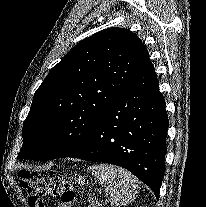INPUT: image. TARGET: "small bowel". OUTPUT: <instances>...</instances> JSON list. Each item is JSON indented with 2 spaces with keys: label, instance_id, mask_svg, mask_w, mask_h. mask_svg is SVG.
Wrapping results in <instances>:
<instances>
[{
  "label": "small bowel",
  "instance_id": "obj_1",
  "mask_svg": "<svg viewBox=\"0 0 206 207\" xmlns=\"http://www.w3.org/2000/svg\"><path fill=\"white\" fill-rule=\"evenodd\" d=\"M58 207H72L71 205H67V204H60Z\"/></svg>",
  "mask_w": 206,
  "mask_h": 207
}]
</instances>
